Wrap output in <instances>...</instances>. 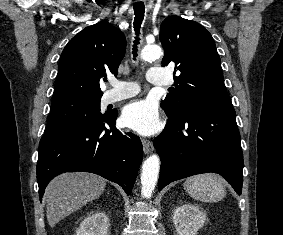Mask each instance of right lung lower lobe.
I'll list each match as a JSON object with an SVG mask.
<instances>
[{"mask_svg": "<svg viewBox=\"0 0 283 235\" xmlns=\"http://www.w3.org/2000/svg\"><path fill=\"white\" fill-rule=\"evenodd\" d=\"M117 112L79 124L39 143L37 181L40 201L47 184L63 172H92L118 183L129 195L143 157L140 138L116 129Z\"/></svg>", "mask_w": 283, "mask_h": 235, "instance_id": "1", "label": "right lung lower lobe"}]
</instances>
